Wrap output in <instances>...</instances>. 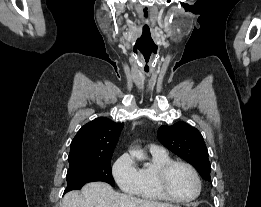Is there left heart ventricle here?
Here are the masks:
<instances>
[{
    "instance_id": "obj_1",
    "label": "left heart ventricle",
    "mask_w": 261,
    "mask_h": 207,
    "mask_svg": "<svg viewBox=\"0 0 261 207\" xmlns=\"http://www.w3.org/2000/svg\"><path fill=\"white\" fill-rule=\"evenodd\" d=\"M168 186L172 194L178 198H189L196 192V182L192 173L181 165L170 171Z\"/></svg>"
}]
</instances>
